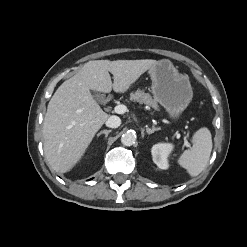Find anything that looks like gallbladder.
Masks as SVG:
<instances>
[{"instance_id": "obj_1", "label": "gallbladder", "mask_w": 247, "mask_h": 247, "mask_svg": "<svg viewBox=\"0 0 247 247\" xmlns=\"http://www.w3.org/2000/svg\"><path fill=\"white\" fill-rule=\"evenodd\" d=\"M94 97L99 101V102H104V95L98 92L94 91Z\"/></svg>"}]
</instances>
